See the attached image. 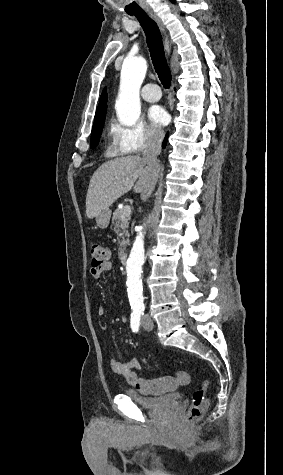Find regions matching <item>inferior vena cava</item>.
Instances as JSON below:
<instances>
[{"label":"inferior vena cava","instance_id":"602c4592","mask_svg":"<svg viewBox=\"0 0 283 475\" xmlns=\"http://www.w3.org/2000/svg\"><path fill=\"white\" fill-rule=\"evenodd\" d=\"M164 132H147L146 134V144L144 148V152L142 154V158L144 162H146L145 172L148 174L150 178L149 186L147 188L146 194H142V200H146L149 198L150 194H152L155 184L157 182L158 174L161 170V166L159 164V160H157V156L161 154V146L164 140Z\"/></svg>","mask_w":283,"mask_h":475}]
</instances>
